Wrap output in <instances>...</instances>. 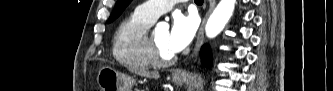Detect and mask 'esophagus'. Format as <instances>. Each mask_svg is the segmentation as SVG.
<instances>
[{
    "label": "esophagus",
    "instance_id": "obj_1",
    "mask_svg": "<svg viewBox=\"0 0 333 91\" xmlns=\"http://www.w3.org/2000/svg\"><path fill=\"white\" fill-rule=\"evenodd\" d=\"M215 0H209V8L204 16V19L202 21V24L200 26V29L198 31V35H197V40H196V44H195V47L193 49V52L191 54V59L194 58L200 47L202 46L203 44V39H204V29H205V25H206V22H207V19L208 17L210 16L211 12L213 11L214 7H215ZM174 75L177 76V77H182L185 75L184 71L183 70H177L174 72Z\"/></svg>",
    "mask_w": 333,
    "mask_h": 91
}]
</instances>
